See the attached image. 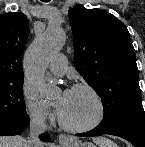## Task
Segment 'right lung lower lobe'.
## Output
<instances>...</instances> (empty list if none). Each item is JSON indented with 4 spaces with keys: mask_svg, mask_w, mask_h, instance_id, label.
Here are the masks:
<instances>
[{
    "mask_svg": "<svg viewBox=\"0 0 145 147\" xmlns=\"http://www.w3.org/2000/svg\"><path fill=\"white\" fill-rule=\"evenodd\" d=\"M27 124H28V116L18 123L10 124V125H1L0 136L17 135L23 131V129L27 126ZM40 138L42 141H49L50 139L49 137H45L43 135L40 136Z\"/></svg>",
    "mask_w": 145,
    "mask_h": 147,
    "instance_id": "right-lung-lower-lobe-1",
    "label": "right lung lower lobe"
}]
</instances>
